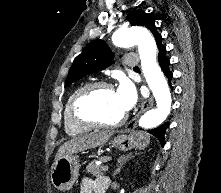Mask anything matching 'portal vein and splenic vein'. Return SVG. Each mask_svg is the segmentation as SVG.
<instances>
[{
  "instance_id": "obj_1",
  "label": "portal vein and splenic vein",
  "mask_w": 221,
  "mask_h": 193,
  "mask_svg": "<svg viewBox=\"0 0 221 193\" xmlns=\"http://www.w3.org/2000/svg\"><path fill=\"white\" fill-rule=\"evenodd\" d=\"M108 169L109 167L107 165L102 167V171H107Z\"/></svg>"
}]
</instances>
